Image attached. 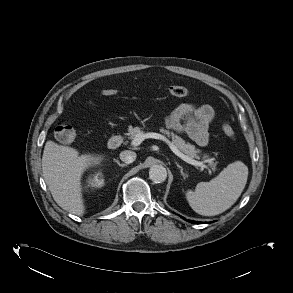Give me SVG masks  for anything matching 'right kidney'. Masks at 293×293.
<instances>
[{"label":"right kidney","instance_id":"right-kidney-1","mask_svg":"<svg viewBox=\"0 0 293 293\" xmlns=\"http://www.w3.org/2000/svg\"><path fill=\"white\" fill-rule=\"evenodd\" d=\"M89 184L92 187L100 188L104 185V179L101 173L96 174L93 179L90 180Z\"/></svg>","mask_w":293,"mask_h":293}]
</instances>
